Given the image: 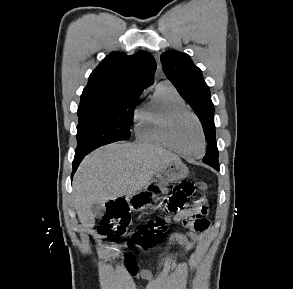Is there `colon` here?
I'll return each mask as SVG.
<instances>
[{"label":"colon","mask_w":293,"mask_h":289,"mask_svg":"<svg viewBox=\"0 0 293 289\" xmlns=\"http://www.w3.org/2000/svg\"><path fill=\"white\" fill-rule=\"evenodd\" d=\"M196 187L205 191L207 185L204 182L193 183L191 181H183L172 188V192L165 208V215L155 217L139 226L134 231L129 240L128 245L131 247H148L157 243L163 238L170 229V215L179 212L187 203V200L194 196ZM208 209L205 204H201L198 209V216L206 218ZM128 221L127 205L124 202L116 201L112 203L99 224L98 231L103 238L113 241L119 238ZM186 227L199 230L204 227L193 219L184 221ZM127 267L131 273L135 272V264L130 256H126Z\"/></svg>","instance_id":"5ec220e1"}]
</instances>
